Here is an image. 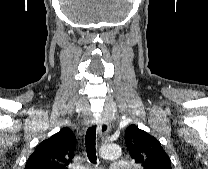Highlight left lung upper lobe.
<instances>
[{
	"label": "left lung upper lobe",
	"mask_w": 208,
	"mask_h": 169,
	"mask_svg": "<svg viewBox=\"0 0 208 169\" xmlns=\"http://www.w3.org/2000/svg\"><path fill=\"white\" fill-rule=\"evenodd\" d=\"M125 143L131 157L144 169H172L160 142L136 125L126 129Z\"/></svg>",
	"instance_id": "obj_1"
}]
</instances>
